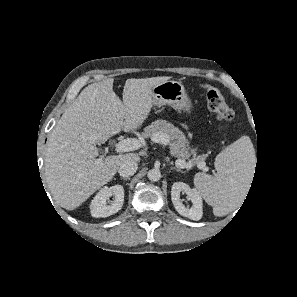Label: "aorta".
<instances>
[{
	"label": "aorta",
	"instance_id": "1",
	"mask_svg": "<svg viewBox=\"0 0 297 297\" xmlns=\"http://www.w3.org/2000/svg\"><path fill=\"white\" fill-rule=\"evenodd\" d=\"M161 178V172L159 169H151L148 172V179L150 181L156 182L158 180H160Z\"/></svg>",
	"mask_w": 297,
	"mask_h": 297
}]
</instances>
